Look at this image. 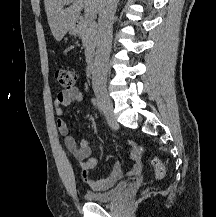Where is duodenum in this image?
<instances>
[{
	"label": "duodenum",
	"mask_w": 216,
	"mask_h": 217,
	"mask_svg": "<svg viewBox=\"0 0 216 217\" xmlns=\"http://www.w3.org/2000/svg\"><path fill=\"white\" fill-rule=\"evenodd\" d=\"M96 67V59L95 55L93 53L88 54V67H87V74L91 75L93 74Z\"/></svg>",
	"instance_id": "410a0bca"
}]
</instances>
